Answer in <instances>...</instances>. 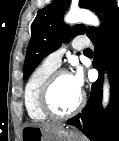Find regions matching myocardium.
<instances>
[{"label":"myocardium","mask_w":119,"mask_h":141,"mask_svg":"<svg viewBox=\"0 0 119 141\" xmlns=\"http://www.w3.org/2000/svg\"><path fill=\"white\" fill-rule=\"evenodd\" d=\"M61 75H70V73L66 70V69H58L55 70L44 82V84L41 87L40 93H39V105H40V109L42 110V112L50 118L53 119H66L69 118L73 115H75L76 113H78L81 108L83 107L84 104V96L82 93H80V98L76 104V106L71 109L68 112H58L56 111L52 104H51V93H52V89L57 81V79L61 76Z\"/></svg>","instance_id":"myocardium-1"}]
</instances>
